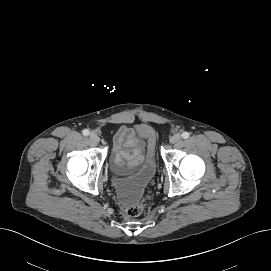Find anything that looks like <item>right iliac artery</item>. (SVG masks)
I'll list each match as a JSON object with an SVG mask.
<instances>
[{
  "label": "right iliac artery",
  "mask_w": 271,
  "mask_h": 271,
  "mask_svg": "<svg viewBox=\"0 0 271 271\" xmlns=\"http://www.w3.org/2000/svg\"><path fill=\"white\" fill-rule=\"evenodd\" d=\"M83 135H84V136H88V135H89V130L84 129V130H83Z\"/></svg>",
  "instance_id": "1"
}]
</instances>
